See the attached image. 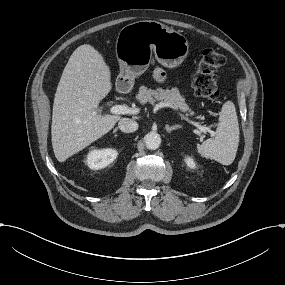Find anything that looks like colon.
<instances>
[{"label":"colon","instance_id":"5ec220e1","mask_svg":"<svg viewBox=\"0 0 285 285\" xmlns=\"http://www.w3.org/2000/svg\"><path fill=\"white\" fill-rule=\"evenodd\" d=\"M226 62L225 56L215 49L203 51L197 70L193 76L194 93L206 100L214 101L219 97L216 71Z\"/></svg>","mask_w":285,"mask_h":285}]
</instances>
